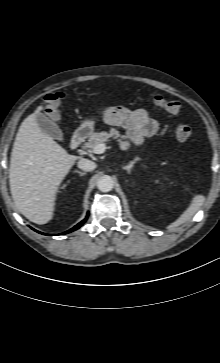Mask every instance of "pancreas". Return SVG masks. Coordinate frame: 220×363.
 Masks as SVG:
<instances>
[{
  "label": "pancreas",
  "instance_id": "1",
  "mask_svg": "<svg viewBox=\"0 0 220 363\" xmlns=\"http://www.w3.org/2000/svg\"><path fill=\"white\" fill-rule=\"evenodd\" d=\"M111 137L117 138V137H121V135H120L119 131L115 128H112L109 132H105V131L96 132L90 136L88 142L85 143V147L93 149L96 145L109 141V138H111ZM118 142H119V146H120L121 150H124V151L128 150L129 145H130V143L128 141H123L122 139H118Z\"/></svg>",
  "mask_w": 220,
  "mask_h": 363
}]
</instances>
